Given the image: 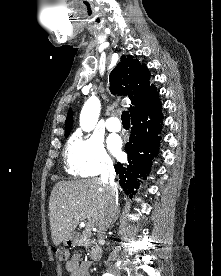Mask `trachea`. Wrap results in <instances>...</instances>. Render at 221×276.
I'll list each match as a JSON object with an SVG mask.
<instances>
[{
  "mask_svg": "<svg viewBox=\"0 0 221 276\" xmlns=\"http://www.w3.org/2000/svg\"><path fill=\"white\" fill-rule=\"evenodd\" d=\"M123 125H130V115L128 111H124L121 115Z\"/></svg>",
  "mask_w": 221,
  "mask_h": 276,
  "instance_id": "obj_1",
  "label": "trachea"
}]
</instances>
